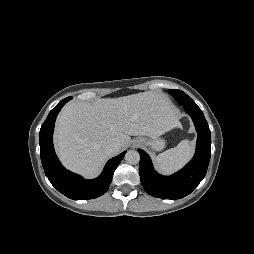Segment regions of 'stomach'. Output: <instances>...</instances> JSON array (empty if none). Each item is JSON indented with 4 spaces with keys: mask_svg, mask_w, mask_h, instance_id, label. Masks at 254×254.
<instances>
[{
    "mask_svg": "<svg viewBox=\"0 0 254 254\" xmlns=\"http://www.w3.org/2000/svg\"><path fill=\"white\" fill-rule=\"evenodd\" d=\"M135 142H140L144 147H150L152 150L160 151L165 147V141L162 138H138Z\"/></svg>",
    "mask_w": 254,
    "mask_h": 254,
    "instance_id": "0dacf381",
    "label": "stomach"
}]
</instances>
